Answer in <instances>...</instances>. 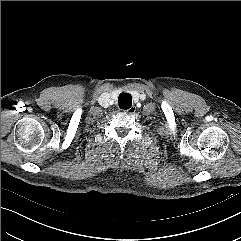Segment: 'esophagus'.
Segmentation results:
<instances>
[{"mask_svg":"<svg viewBox=\"0 0 241 241\" xmlns=\"http://www.w3.org/2000/svg\"><path fill=\"white\" fill-rule=\"evenodd\" d=\"M135 111H136V107H135V106H132V107L129 108L128 110H123L122 112H123L124 114H130V115H132V114L135 113Z\"/></svg>","mask_w":241,"mask_h":241,"instance_id":"esophagus-1","label":"esophagus"}]
</instances>
